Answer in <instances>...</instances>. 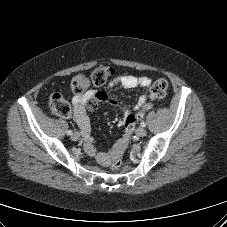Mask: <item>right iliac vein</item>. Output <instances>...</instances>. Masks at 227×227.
I'll return each mask as SVG.
<instances>
[{"instance_id": "right-iliac-vein-1", "label": "right iliac vein", "mask_w": 227, "mask_h": 227, "mask_svg": "<svg viewBox=\"0 0 227 227\" xmlns=\"http://www.w3.org/2000/svg\"><path fill=\"white\" fill-rule=\"evenodd\" d=\"M71 139H72L73 141L79 140V139H80V134H79V132L73 133L72 136H71Z\"/></svg>"}]
</instances>
